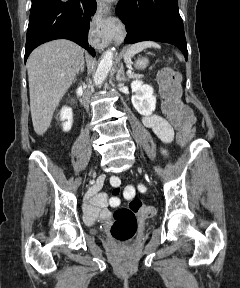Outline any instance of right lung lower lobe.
Wrapping results in <instances>:
<instances>
[{
	"instance_id": "right-lung-lower-lobe-1",
	"label": "right lung lower lobe",
	"mask_w": 240,
	"mask_h": 288,
	"mask_svg": "<svg viewBox=\"0 0 240 288\" xmlns=\"http://www.w3.org/2000/svg\"><path fill=\"white\" fill-rule=\"evenodd\" d=\"M94 0H32L27 30L25 61L40 44L54 39H69L95 56L88 44Z\"/></svg>"
}]
</instances>
